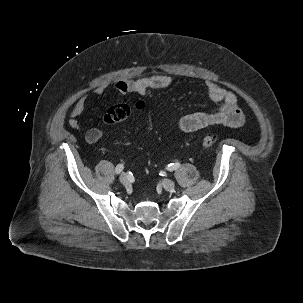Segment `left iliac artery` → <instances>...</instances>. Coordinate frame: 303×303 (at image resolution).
Returning <instances> with one entry per match:
<instances>
[{"mask_svg": "<svg viewBox=\"0 0 303 303\" xmlns=\"http://www.w3.org/2000/svg\"><path fill=\"white\" fill-rule=\"evenodd\" d=\"M180 167V163L176 162V163H171L167 166V170L169 171H174L177 170Z\"/></svg>", "mask_w": 303, "mask_h": 303, "instance_id": "left-iliac-artery-1", "label": "left iliac artery"}]
</instances>
